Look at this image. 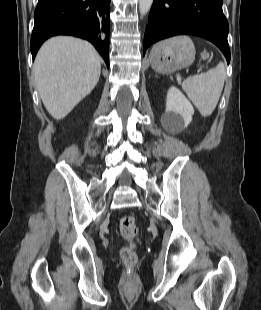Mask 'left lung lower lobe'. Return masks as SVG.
Instances as JSON below:
<instances>
[{
    "instance_id": "0a47b994",
    "label": "left lung lower lobe",
    "mask_w": 261,
    "mask_h": 310,
    "mask_svg": "<svg viewBox=\"0 0 261 310\" xmlns=\"http://www.w3.org/2000/svg\"><path fill=\"white\" fill-rule=\"evenodd\" d=\"M223 0H154L144 35V51L153 43L180 34H192L213 42L230 61L228 22Z\"/></svg>"
}]
</instances>
